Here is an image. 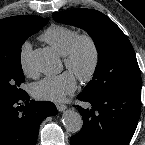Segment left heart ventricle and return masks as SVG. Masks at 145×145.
Wrapping results in <instances>:
<instances>
[{
	"mask_svg": "<svg viewBox=\"0 0 145 145\" xmlns=\"http://www.w3.org/2000/svg\"><path fill=\"white\" fill-rule=\"evenodd\" d=\"M90 63V53L87 47H83L79 57L77 64L74 69L70 70L75 76L80 73H83L87 70Z\"/></svg>",
	"mask_w": 145,
	"mask_h": 145,
	"instance_id": "1",
	"label": "left heart ventricle"
}]
</instances>
